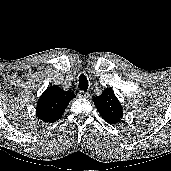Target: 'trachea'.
<instances>
[{
  "mask_svg": "<svg viewBox=\"0 0 171 171\" xmlns=\"http://www.w3.org/2000/svg\"><path fill=\"white\" fill-rule=\"evenodd\" d=\"M88 80L87 77L84 74H81L79 76V84H78V88L82 91H87L88 89Z\"/></svg>",
  "mask_w": 171,
  "mask_h": 171,
  "instance_id": "obj_1",
  "label": "trachea"
}]
</instances>
